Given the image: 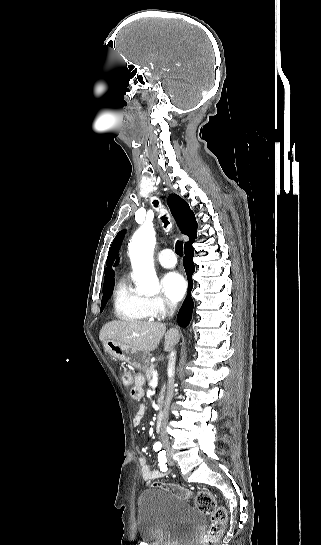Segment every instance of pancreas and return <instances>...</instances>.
Segmentation results:
<instances>
[{
  "label": "pancreas",
  "mask_w": 321,
  "mask_h": 545,
  "mask_svg": "<svg viewBox=\"0 0 321 545\" xmlns=\"http://www.w3.org/2000/svg\"><path fill=\"white\" fill-rule=\"evenodd\" d=\"M155 367H156V365H153V363H150L148 369H145V379H146L147 383H151V377L153 375V371H155ZM165 389H166V387H162V389H161L159 405H161V403H163V397H164Z\"/></svg>",
  "instance_id": "obj_1"
}]
</instances>
